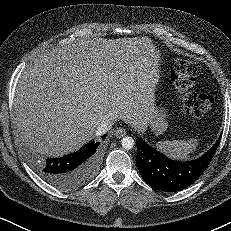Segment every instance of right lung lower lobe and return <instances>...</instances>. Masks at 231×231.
<instances>
[{
  "instance_id": "obj_1",
  "label": "right lung lower lobe",
  "mask_w": 231,
  "mask_h": 231,
  "mask_svg": "<svg viewBox=\"0 0 231 231\" xmlns=\"http://www.w3.org/2000/svg\"><path fill=\"white\" fill-rule=\"evenodd\" d=\"M100 142H89L78 151L60 158L38 160L37 173L49 184L62 190L76 189L88 182L98 171Z\"/></svg>"
}]
</instances>
